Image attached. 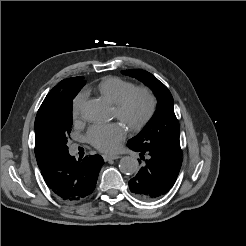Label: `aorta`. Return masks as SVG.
Returning a JSON list of instances; mask_svg holds the SVG:
<instances>
[{"instance_id": "aorta-1", "label": "aorta", "mask_w": 246, "mask_h": 246, "mask_svg": "<svg viewBox=\"0 0 246 246\" xmlns=\"http://www.w3.org/2000/svg\"><path fill=\"white\" fill-rule=\"evenodd\" d=\"M105 115L103 104L96 99L88 100L82 107V117L90 121H98ZM139 164L136 158L125 156L120 160L119 169L123 174L131 175L138 171Z\"/></svg>"}]
</instances>
